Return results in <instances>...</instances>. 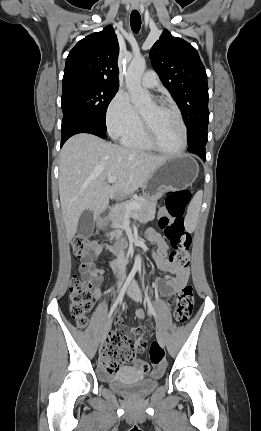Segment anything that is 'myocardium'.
Wrapping results in <instances>:
<instances>
[{
  "label": "myocardium",
  "instance_id": "f54148a6",
  "mask_svg": "<svg viewBox=\"0 0 261 431\" xmlns=\"http://www.w3.org/2000/svg\"><path fill=\"white\" fill-rule=\"evenodd\" d=\"M155 104L158 107H162V108H168L171 109L172 111L175 112V114L177 115V118L179 120L180 126H181V130H182V144L179 147L178 150L176 151H168L165 150L164 148H162L159 143L157 142L154 132L151 128V126L148 124V122L141 116V123H142V128H143V132L144 135L147 139V141L150 143V145L157 150L158 152L171 156V157H177L180 156L187 148V144H188V134H187V128L184 122V119L182 117V114L180 112V110L173 104L168 103L166 101H157L155 102Z\"/></svg>",
  "mask_w": 261,
  "mask_h": 431
}]
</instances>
